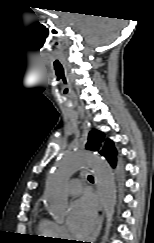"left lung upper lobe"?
<instances>
[{"mask_svg": "<svg viewBox=\"0 0 154 243\" xmlns=\"http://www.w3.org/2000/svg\"><path fill=\"white\" fill-rule=\"evenodd\" d=\"M86 148L89 150L98 151L104 156L109 163L115 167L116 153L113 142L110 139H105L104 133L98 130H92L88 136Z\"/></svg>", "mask_w": 154, "mask_h": 243, "instance_id": "1", "label": "left lung upper lobe"}]
</instances>
